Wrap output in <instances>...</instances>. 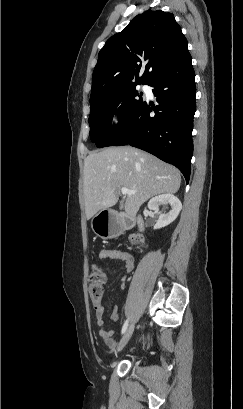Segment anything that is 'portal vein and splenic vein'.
Wrapping results in <instances>:
<instances>
[{
  "mask_svg": "<svg viewBox=\"0 0 243 409\" xmlns=\"http://www.w3.org/2000/svg\"><path fill=\"white\" fill-rule=\"evenodd\" d=\"M136 192H137V191H135V190H129V189L125 188V187L121 188V193H122L123 195H132V194H135Z\"/></svg>",
  "mask_w": 243,
  "mask_h": 409,
  "instance_id": "18ae733b",
  "label": "portal vein and splenic vein"
}]
</instances>
